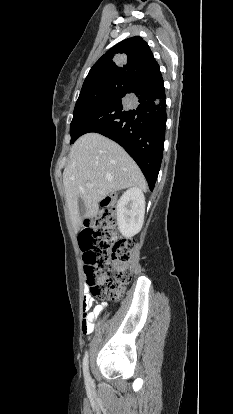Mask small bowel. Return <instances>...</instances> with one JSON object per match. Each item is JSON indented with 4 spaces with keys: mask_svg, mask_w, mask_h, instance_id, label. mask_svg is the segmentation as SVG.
Instances as JSON below:
<instances>
[{
    "mask_svg": "<svg viewBox=\"0 0 233 414\" xmlns=\"http://www.w3.org/2000/svg\"><path fill=\"white\" fill-rule=\"evenodd\" d=\"M84 292L82 331L84 334H91L94 330L95 320L103 312L105 305L99 304L92 309L93 298L88 294L90 292L89 284H84Z\"/></svg>",
    "mask_w": 233,
    "mask_h": 414,
    "instance_id": "obj_1",
    "label": "small bowel"
}]
</instances>
